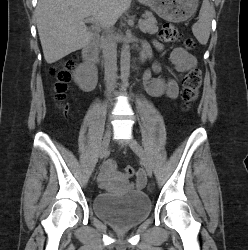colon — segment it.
<instances>
[{
	"instance_id": "obj_1",
	"label": "colon",
	"mask_w": 248,
	"mask_h": 250,
	"mask_svg": "<svg viewBox=\"0 0 248 250\" xmlns=\"http://www.w3.org/2000/svg\"><path fill=\"white\" fill-rule=\"evenodd\" d=\"M159 37L161 41L166 43L182 41L188 49L195 47V42L190 37L182 35L175 25L165 23L160 31ZM76 64V57L65 60L57 66L50 69L51 76L55 79L56 99L62 102L65 98L68 84L71 80L72 70ZM202 75L198 68L190 69L184 76L182 82L181 97L183 101V109H189L190 105L197 99L199 88L201 85ZM112 165V164H110ZM123 175L130 179L134 176L135 170L131 165H125L122 169Z\"/></svg>"
}]
</instances>
